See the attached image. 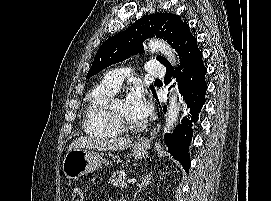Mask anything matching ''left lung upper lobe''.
I'll list each match as a JSON object with an SVG mask.
<instances>
[{
    "mask_svg": "<svg viewBox=\"0 0 271 201\" xmlns=\"http://www.w3.org/2000/svg\"><path fill=\"white\" fill-rule=\"evenodd\" d=\"M154 36L167 40L176 51L179 46L195 38L189 30V25L178 15L155 13L143 16L127 30L108 38L100 46L86 78L129 58L130 55L141 53L143 41ZM157 60L164 66L169 63L162 56H158Z\"/></svg>",
    "mask_w": 271,
    "mask_h": 201,
    "instance_id": "1",
    "label": "left lung upper lobe"
}]
</instances>
